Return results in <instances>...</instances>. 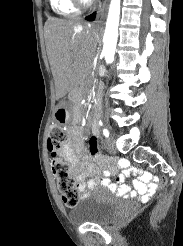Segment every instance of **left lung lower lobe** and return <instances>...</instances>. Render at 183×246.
<instances>
[{
    "mask_svg": "<svg viewBox=\"0 0 183 246\" xmlns=\"http://www.w3.org/2000/svg\"><path fill=\"white\" fill-rule=\"evenodd\" d=\"M95 18V14H91L90 16L86 17V20L93 21Z\"/></svg>",
    "mask_w": 183,
    "mask_h": 246,
    "instance_id": "left-lung-lower-lobe-1",
    "label": "left lung lower lobe"
}]
</instances>
